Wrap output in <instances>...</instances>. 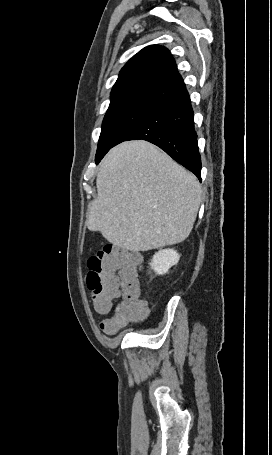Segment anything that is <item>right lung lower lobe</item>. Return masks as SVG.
<instances>
[{
  "mask_svg": "<svg viewBox=\"0 0 272 455\" xmlns=\"http://www.w3.org/2000/svg\"><path fill=\"white\" fill-rule=\"evenodd\" d=\"M137 139H144L157 145L201 180V157L188 92L163 104L128 129L113 146L123 141Z\"/></svg>",
  "mask_w": 272,
  "mask_h": 455,
  "instance_id": "obj_1",
  "label": "right lung lower lobe"
}]
</instances>
